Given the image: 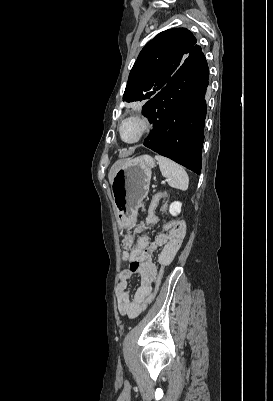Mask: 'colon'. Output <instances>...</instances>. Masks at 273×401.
Listing matches in <instances>:
<instances>
[{"label":"colon","instance_id":"5ec220e1","mask_svg":"<svg viewBox=\"0 0 273 401\" xmlns=\"http://www.w3.org/2000/svg\"><path fill=\"white\" fill-rule=\"evenodd\" d=\"M165 237V236H164ZM174 241H181L183 235L181 232H174L172 235ZM143 282H150L152 280V275L150 273H143L141 276Z\"/></svg>","mask_w":273,"mask_h":401}]
</instances>
